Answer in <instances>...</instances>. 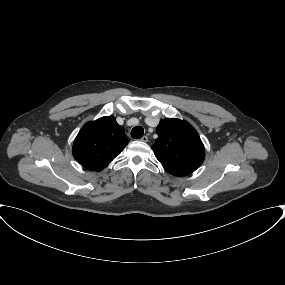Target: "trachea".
<instances>
[{"instance_id": "1", "label": "trachea", "mask_w": 285, "mask_h": 285, "mask_svg": "<svg viewBox=\"0 0 285 285\" xmlns=\"http://www.w3.org/2000/svg\"><path fill=\"white\" fill-rule=\"evenodd\" d=\"M144 134V130L141 126H136L131 130V136L134 139H140Z\"/></svg>"}]
</instances>
